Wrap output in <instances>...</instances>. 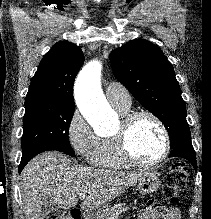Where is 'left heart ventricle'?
Wrapping results in <instances>:
<instances>
[{"instance_id":"left-heart-ventricle-1","label":"left heart ventricle","mask_w":211,"mask_h":219,"mask_svg":"<svg viewBox=\"0 0 211 219\" xmlns=\"http://www.w3.org/2000/svg\"><path fill=\"white\" fill-rule=\"evenodd\" d=\"M130 148L142 161L156 160L163 151V136L157 124L143 116L134 123L129 136Z\"/></svg>"}]
</instances>
